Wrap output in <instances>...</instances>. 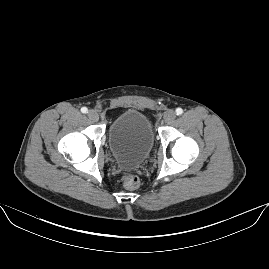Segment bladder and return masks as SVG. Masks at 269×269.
Listing matches in <instances>:
<instances>
[{
  "label": "bladder",
  "mask_w": 269,
  "mask_h": 269,
  "mask_svg": "<svg viewBox=\"0 0 269 269\" xmlns=\"http://www.w3.org/2000/svg\"><path fill=\"white\" fill-rule=\"evenodd\" d=\"M107 141L117 165L138 167L153 147V124L144 113L126 109L111 122Z\"/></svg>",
  "instance_id": "31cf9c89"
}]
</instances>
